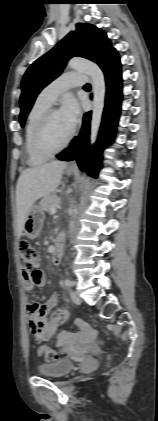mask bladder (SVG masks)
<instances>
[{"label": "bladder", "instance_id": "bladder-1", "mask_svg": "<svg viewBox=\"0 0 158 421\" xmlns=\"http://www.w3.org/2000/svg\"><path fill=\"white\" fill-rule=\"evenodd\" d=\"M74 364L69 359H61L51 363L40 364L37 366L38 374L50 377L61 378L72 371Z\"/></svg>", "mask_w": 158, "mask_h": 421}]
</instances>
